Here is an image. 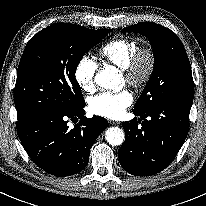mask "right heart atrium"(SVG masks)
Masks as SVG:
<instances>
[{
    "label": "right heart atrium",
    "instance_id": "right-heart-atrium-1",
    "mask_svg": "<svg viewBox=\"0 0 206 206\" xmlns=\"http://www.w3.org/2000/svg\"><path fill=\"white\" fill-rule=\"evenodd\" d=\"M98 65L89 56L79 59L74 70V78L79 88L85 93H92L95 90V76Z\"/></svg>",
    "mask_w": 206,
    "mask_h": 206
}]
</instances>
